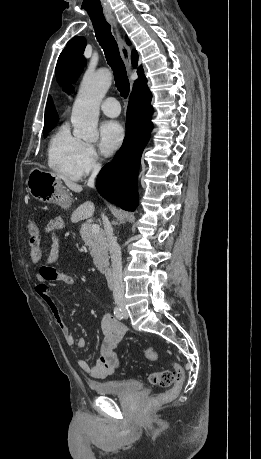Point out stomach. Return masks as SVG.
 Listing matches in <instances>:
<instances>
[{
  "mask_svg": "<svg viewBox=\"0 0 261 459\" xmlns=\"http://www.w3.org/2000/svg\"><path fill=\"white\" fill-rule=\"evenodd\" d=\"M27 188L31 196L40 202L55 203L62 207L68 203V193L54 173L33 168L27 178Z\"/></svg>",
  "mask_w": 261,
  "mask_h": 459,
  "instance_id": "stomach-1",
  "label": "stomach"
}]
</instances>
